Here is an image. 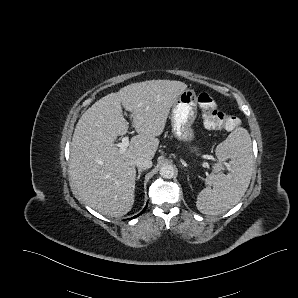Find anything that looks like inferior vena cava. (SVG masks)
<instances>
[{
	"label": "inferior vena cava",
	"instance_id": "602c4592",
	"mask_svg": "<svg viewBox=\"0 0 298 298\" xmlns=\"http://www.w3.org/2000/svg\"><path fill=\"white\" fill-rule=\"evenodd\" d=\"M135 165L138 168H145V169H149L152 167L153 163L151 159L145 158V157H138L135 160Z\"/></svg>",
	"mask_w": 298,
	"mask_h": 298
}]
</instances>
